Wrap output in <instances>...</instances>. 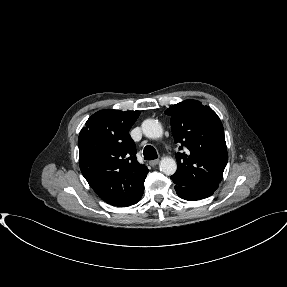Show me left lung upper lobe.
<instances>
[{
    "label": "left lung upper lobe",
    "mask_w": 287,
    "mask_h": 287,
    "mask_svg": "<svg viewBox=\"0 0 287 287\" xmlns=\"http://www.w3.org/2000/svg\"><path fill=\"white\" fill-rule=\"evenodd\" d=\"M176 143L187 148L177 152L175 184L194 189H216L228 162L223 125L217 114L197 100H185L168 108Z\"/></svg>",
    "instance_id": "5c2ea615"
}]
</instances>
